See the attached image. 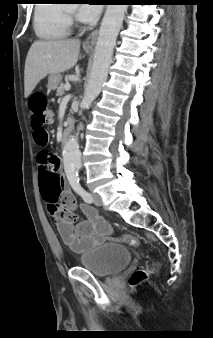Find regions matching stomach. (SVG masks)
I'll list each match as a JSON object with an SVG mask.
<instances>
[{
    "label": "stomach",
    "mask_w": 213,
    "mask_h": 338,
    "mask_svg": "<svg viewBox=\"0 0 213 338\" xmlns=\"http://www.w3.org/2000/svg\"><path fill=\"white\" fill-rule=\"evenodd\" d=\"M85 50L88 51L87 48H85ZM61 80H62V76L60 73L50 74L48 77V85H47L48 89L55 90L58 87Z\"/></svg>",
    "instance_id": "stomach-1"
}]
</instances>
